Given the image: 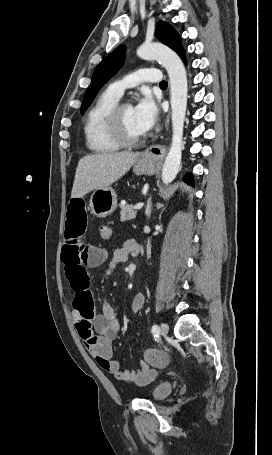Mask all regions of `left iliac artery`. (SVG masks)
<instances>
[{
	"mask_svg": "<svg viewBox=\"0 0 272 455\" xmlns=\"http://www.w3.org/2000/svg\"><path fill=\"white\" fill-rule=\"evenodd\" d=\"M151 331H152V334L154 335V337H159L160 328H159L158 325L154 324V325L152 326Z\"/></svg>",
	"mask_w": 272,
	"mask_h": 455,
	"instance_id": "left-iliac-artery-1",
	"label": "left iliac artery"
}]
</instances>
